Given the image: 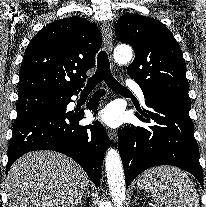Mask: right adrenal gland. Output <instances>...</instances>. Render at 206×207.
<instances>
[{
    "instance_id": "1",
    "label": "right adrenal gland",
    "mask_w": 206,
    "mask_h": 207,
    "mask_svg": "<svg viewBox=\"0 0 206 207\" xmlns=\"http://www.w3.org/2000/svg\"><path fill=\"white\" fill-rule=\"evenodd\" d=\"M84 196H89V190L87 188L86 192L84 193Z\"/></svg>"
}]
</instances>
